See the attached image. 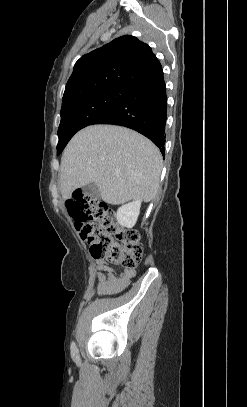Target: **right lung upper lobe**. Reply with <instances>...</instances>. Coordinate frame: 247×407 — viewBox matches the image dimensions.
Masks as SVG:
<instances>
[{
    "instance_id": "cb5924a9",
    "label": "right lung upper lobe",
    "mask_w": 247,
    "mask_h": 407,
    "mask_svg": "<svg viewBox=\"0 0 247 407\" xmlns=\"http://www.w3.org/2000/svg\"><path fill=\"white\" fill-rule=\"evenodd\" d=\"M161 72L152 49L136 37L124 35L76 62L65 87L62 106L109 87L136 89Z\"/></svg>"
}]
</instances>
